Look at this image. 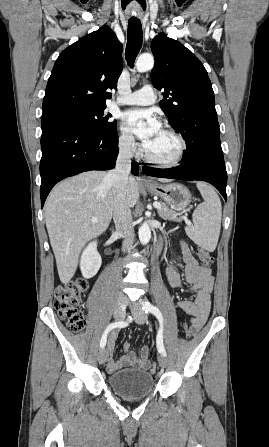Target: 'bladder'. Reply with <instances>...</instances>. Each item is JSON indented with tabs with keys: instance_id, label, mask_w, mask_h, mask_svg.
<instances>
[{
	"instance_id": "obj_1",
	"label": "bladder",
	"mask_w": 269,
	"mask_h": 447,
	"mask_svg": "<svg viewBox=\"0 0 269 447\" xmlns=\"http://www.w3.org/2000/svg\"><path fill=\"white\" fill-rule=\"evenodd\" d=\"M108 384L122 397L142 398L153 389L154 377L148 371L129 368L109 374Z\"/></svg>"
}]
</instances>
